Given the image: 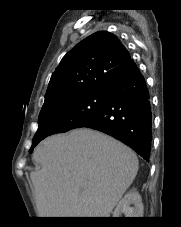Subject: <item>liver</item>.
Wrapping results in <instances>:
<instances>
[{"instance_id": "obj_1", "label": "liver", "mask_w": 181, "mask_h": 227, "mask_svg": "<svg viewBox=\"0 0 181 227\" xmlns=\"http://www.w3.org/2000/svg\"><path fill=\"white\" fill-rule=\"evenodd\" d=\"M30 177L40 217H109L135 179L136 154L102 132L53 135L34 150Z\"/></svg>"}]
</instances>
